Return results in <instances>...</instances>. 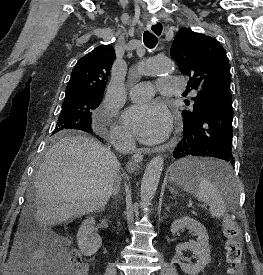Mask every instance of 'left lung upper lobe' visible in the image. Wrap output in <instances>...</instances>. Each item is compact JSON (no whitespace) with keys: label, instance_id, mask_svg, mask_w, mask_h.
<instances>
[{"label":"left lung upper lobe","instance_id":"1","mask_svg":"<svg viewBox=\"0 0 263 275\" xmlns=\"http://www.w3.org/2000/svg\"><path fill=\"white\" fill-rule=\"evenodd\" d=\"M171 57L182 74L190 76L188 85L198 90L192 100L193 112L183 111V123L191 124L221 99H231L230 66L226 51L214 38L181 28L171 46Z\"/></svg>","mask_w":263,"mask_h":275}]
</instances>
